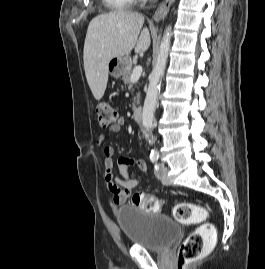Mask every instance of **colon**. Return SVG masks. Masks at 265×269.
I'll list each match as a JSON object with an SVG mask.
<instances>
[{
    "instance_id": "obj_1",
    "label": "colon",
    "mask_w": 265,
    "mask_h": 269,
    "mask_svg": "<svg viewBox=\"0 0 265 269\" xmlns=\"http://www.w3.org/2000/svg\"><path fill=\"white\" fill-rule=\"evenodd\" d=\"M96 112L98 123L102 128L112 127L118 122L117 112L108 102L98 103ZM131 201L147 212H157L161 207V203L156 197L142 192H135ZM173 215L180 223L193 224L203 222L208 213L206 209L194 203L180 202L175 205ZM215 237V227L210 223H204L194 230L180 246L178 269H185L190 263L199 259Z\"/></svg>"
}]
</instances>
